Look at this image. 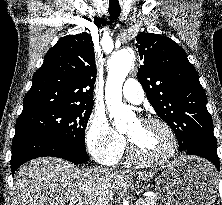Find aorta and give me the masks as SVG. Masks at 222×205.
<instances>
[{"mask_svg":"<svg viewBox=\"0 0 222 205\" xmlns=\"http://www.w3.org/2000/svg\"><path fill=\"white\" fill-rule=\"evenodd\" d=\"M133 65V56L127 50L115 52L108 60V77L105 86V100L109 115L118 131L127 129L135 118L131 108L122 103V86Z\"/></svg>","mask_w":222,"mask_h":205,"instance_id":"obj_1","label":"aorta"}]
</instances>
